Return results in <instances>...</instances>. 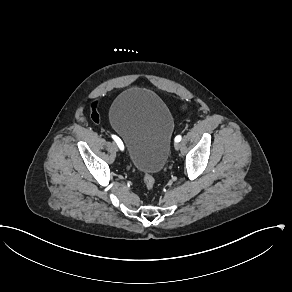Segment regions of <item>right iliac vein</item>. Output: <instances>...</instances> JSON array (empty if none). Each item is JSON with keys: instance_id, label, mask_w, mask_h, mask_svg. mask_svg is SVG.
<instances>
[{"instance_id": "obj_1", "label": "right iliac vein", "mask_w": 292, "mask_h": 292, "mask_svg": "<svg viewBox=\"0 0 292 292\" xmlns=\"http://www.w3.org/2000/svg\"><path fill=\"white\" fill-rule=\"evenodd\" d=\"M112 147L114 150H116V151L118 150L117 144L115 142L112 143Z\"/></svg>"}]
</instances>
